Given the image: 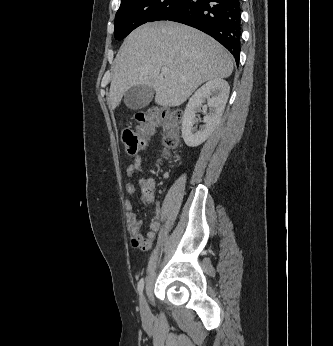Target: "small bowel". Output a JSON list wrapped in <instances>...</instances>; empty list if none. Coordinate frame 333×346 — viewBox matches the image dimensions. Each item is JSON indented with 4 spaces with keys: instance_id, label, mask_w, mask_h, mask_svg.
Here are the masks:
<instances>
[{
    "instance_id": "obj_1",
    "label": "small bowel",
    "mask_w": 333,
    "mask_h": 346,
    "mask_svg": "<svg viewBox=\"0 0 333 346\" xmlns=\"http://www.w3.org/2000/svg\"><path fill=\"white\" fill-rule=\"evenodd\" d=\"M148 157L136 156L131 164L128 165L126 174L128 177L132 178L138 176L142 170V167L148 162ZM139 185L142 188V201L146 205L154 204L155 216L150 224V230L143 235L141 232V221L137 218L134 212V206L131 201L125 202V207L127 210V228L131 236L128 239V246L132 247V250H136L137 254H146L147 248H149L156 238L157 232L160 229L159 215H160V205L155 202L154 198V183L150 180L144 178L139 179ZM126 191L128 195L134 196L137 192L136 186L129 182L126 185Z\"/></svg>"
}]
</instances>
